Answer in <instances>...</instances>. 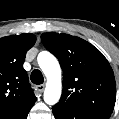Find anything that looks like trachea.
<instances>
[{"label":"trachea","instance_id":"3493384b","mask_svg":"<svg viewBox=\"0 0 119 119\" xmlns=\"http://www.w3.org/2000/svg\"><path fill=\"white\" fill-rule=\"evenodd\" d=\"M30 78H31L32 83L37 84V85H40L44 82L43 75L41 71L38 69H35L32 71Z\"/></svg>","mask_w":119,"mask_h":119}]
</instances>
